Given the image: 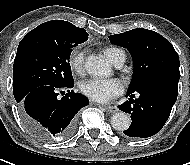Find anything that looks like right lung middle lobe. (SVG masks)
<instances>
[{"instance_id": "1", "label": "right lung middle lobe", "mask_w": 190, "mask_h": 165, "mask_svg": "<svg viewBox=\"0 0 190 165\" xmlns=\"http://www.w3.org/2000/svg\"><path fill=\"white\" fill-rule=\"evenodd\" d=\"M82 28L70 29L64 22H45L19 43L13 65V93L20 103L33 89L74 83L69 56L73 47L85 42Z\"/></svg>"}]
</instances>
